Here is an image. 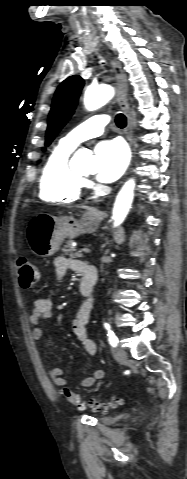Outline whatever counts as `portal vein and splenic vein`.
I'll return each mask as SVG.
<instances>
[{"mask_svg": "<svg viewBox=\"0 0 187 479\" xmlns=\"http://www.w3.org/2000/svg\"><path fill=\"white\" fill-rule=\"evenodd\" d=\"M81 251H83L85 253H90V249H88V248H82Z\"/></svg>", "mask_w": 187, "mask_h": 479, "instance_id": "1", "label": "portal vein and splenic vein"}]
</instances>
